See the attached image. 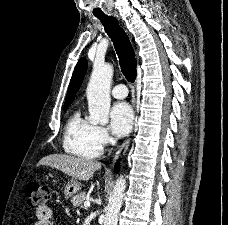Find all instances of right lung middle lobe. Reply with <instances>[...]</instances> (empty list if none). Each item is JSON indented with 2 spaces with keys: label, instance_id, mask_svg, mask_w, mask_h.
Segmentation results:
<instances>
[{
  "label": "right lung middle lobe",
  "instance_id": "obj_1",
  "mask_svg": "<svg viewBox=\"0 0 228 225\" xmlns=\"http://www.w3.org/2000/svg\"><path fill=\"white\" fill-rule=\"evenodd\" d=\"M68 106H69V105L64 106V110H66V108H67Z\"/></svg>",
  "mask_w": 228,
  "mask_h": 225
}]
</instances>
